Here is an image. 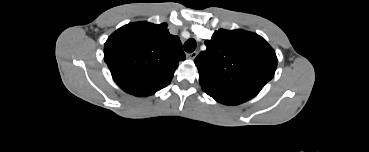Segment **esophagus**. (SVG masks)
<instances>
[{"instance_id":"1","label":"esophagus","mask_w":369,"mask_h":152,"mask_svg":"<svg viewBox=\"0 0 369 152\" xmlns=\"http://www.w3.org/2000/svg\"><path fill=\"white\" fill-rule=\"evenodd\" d=\"M197 55H198V52H197V51H193L192 53H189V54L187 55V57H188L189 59L194 60V59L197 57Z\"/></svg>"}]
</instances>
